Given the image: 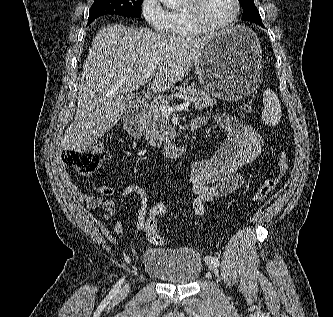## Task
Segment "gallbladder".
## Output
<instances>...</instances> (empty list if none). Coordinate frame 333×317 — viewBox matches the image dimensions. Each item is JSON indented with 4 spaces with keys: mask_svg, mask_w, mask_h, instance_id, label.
<instances>
[{
    "mask_svg": "<svg viewBox=\"0 0 333 317\" xmlns=\"http://www.w3.org/2000/svg\"><path fill=\"white\" fill-rule=\"evenodd\" d=\"M137 101H138V98L135 96H126L125 97V103L128 108H134L136 106Z\"/></svg>",
    "mask_w": 333,
    "mask_h": 317,
    "instance_id": "obj_1",
    "label": "gallbladder"
}]
</instances>
